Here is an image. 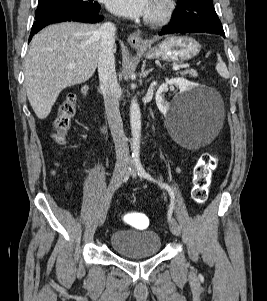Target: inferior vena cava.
Wrapping results in <instances>:
<instances>
[{
	"instance_id": "602c4592",
	"label": "inferior vena cava",
	"mask_w": 267,
	"mask_h": 301,
	"mask_svg": "<svg viewBox=\"0 0 267 301\" xmlns=\"http://www.w3.org/2000/svg\"><path fill=\"white\" fill-rule=\"evenodd\" d=\"M99 34L101 40L98 73L106 116L115 143L117 163L127 164L130 160V154L119 110L120 87L115 71L114 45L116 27L111 22L103 23L99 28Z\"/></svg>"
}]
</instances>
